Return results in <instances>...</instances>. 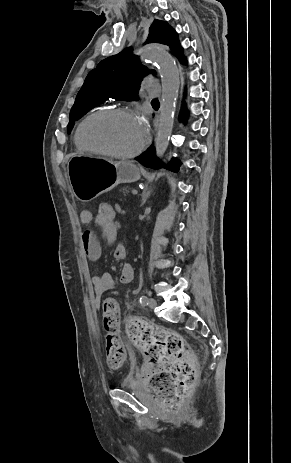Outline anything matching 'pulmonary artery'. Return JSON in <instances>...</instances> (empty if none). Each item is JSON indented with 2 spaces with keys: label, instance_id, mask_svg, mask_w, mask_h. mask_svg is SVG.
Returning a JSON list of instances; mask_svg holds the SVG:
<instances>
[{
  "label": "pulmonary artery",
  "instance_id": "1",
  "mask_svg": "<svg viewBox=\"0 0 291 463\" xmlns=\"http://www.w3.org/2000/svg\"><path fill=\"white\" fill-rule=\"evenodd\" d=\"M144 86L151 97H159L161 95L160 86L154 79L150 77L145 78Z\"/></svg>",
  "mask_w": 291,
  "mask_h": 463
}]
</instances>
